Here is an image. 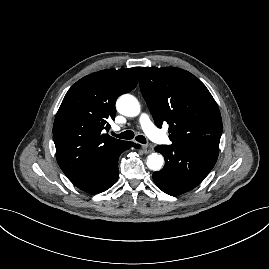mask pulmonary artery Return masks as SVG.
I'll return each instance as SVG.
<instances>
[{"instance_id":"obj_1","label":"pulmonary artery","mask_w":269,"mask_h":269,"mask_svg":"<svg viewBox=\"0 0 269 269\" xmlns=\"http://www.w3.org/2000/svg\"><path fill=\"white\" fill-rule=\"evenodd\" d=\"M139 123L150 139L157 142L168 141L167 137L156 128L147 113H142L140 115Z\"/></svg>"}]
</instances>
